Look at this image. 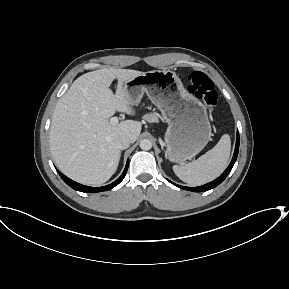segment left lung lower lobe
<instances>
[{
	"instance_id": "obj_1",
	"label": "left lung lower lobe",
	"mask_w": 289,
	"mask_h": 289,
	"mask_svg": "<svg viewBox=\"0 0 289 289\" xmlns=\"http://www.w3.org/2000/svg\"><path fill=\"white\" fill-rule=\"evenodd\" d=\"M238 151H239V132H237V140H236V146H235V151H234L233 158H232L228 168L216 180H214V181H212L210 183H207L205 185L199 186V187H184V186L176 185V184L172 183L171 181L170 182L172 184L182 188V189H186V190L194 191V192H204V191H208L210 189H213L216 186H218L222 181H224V179L227 177V175L231 171V169H232V167H233V165H234V163H235V161L237 159Z\"/></svg>"
}]
</instances>
